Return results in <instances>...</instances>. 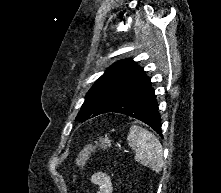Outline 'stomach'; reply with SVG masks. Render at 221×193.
Here are the masks:
<instances>
[{
    "mask_svg": "<svg viewBox=\"0 0 221 193\" xmlns=\"http://www.w3.org/2000/svg\"><path fill=\"white\" fill-rule=\"evenodd\" d=\"M101 145L106 147V146H110L108 140L104 139V140H101Z\"/></svg>",
    "mask_w": 221,
    "mask_h": 193,
    "instance_id": "0dacf381",
    "label": "stomach"
}]
</instances>
